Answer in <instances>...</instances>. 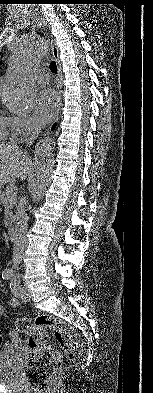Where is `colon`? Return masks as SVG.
<instances>
[{"label": "colon", "instance_id": "5ec220e1", "mask_svg": "<svg viewBox=\"0 0 153 393\" xmlns=\"http://www.w3.org/2000/svg\"><path fill=\"white\" fill-rule=\"evenodd\" d=\"M15 326L28 338L29 353L23 379L34 393H44L48 382L61 367L63 360L56 348L46 345V331L54 332L56 340L71 360L80 358L83 342L71 326L47 314L38 315L34 324L27 318H18L15 320Z\"/></svg>", "mask_w": 153, "mask_h": 393}]
</instances>
